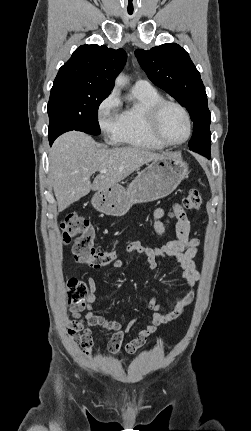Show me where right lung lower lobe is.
Segmentation results:
<instances>
[{
	"label": "right lung lower lobe",
	"instance_id": "98d812e1",
	"mask_svg": "<svg viewBox=\"0 0 251 431\" xmlns=\"http://www.w3.org/2000/svg\"><path fill=\"white\" fill-rule=\"evenodd\" d=\"M55 139H56V137H49L50 145H52V143L54 142Z\"/></svg>",
	"mask_w": 251,
	"mask_h": 431
}]
</instances>
